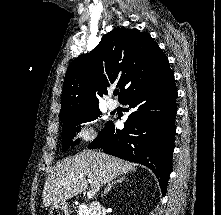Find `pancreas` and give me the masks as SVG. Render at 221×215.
I'll list each match as a JSON object with an SVG mask.
<instances>
[{
  "label": "pancreas",
  "mask_w": 221,
  "mask_h": 215,
  "mask_svg": "<svg viewBox=\"0 0 221 215\" xmlns=\"http://www.w3.org/2000/svg\"><path fill=\"white\" fill-rule=\"evenodd\" d=\"M77 215H89V211L87 208L79 207L77 210Z\"/></svg>",
  "instance_id": "obj_1"
}]
</instances>
